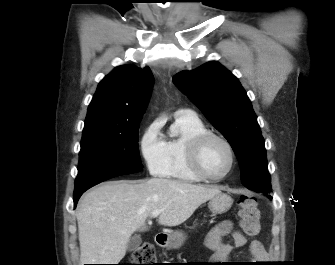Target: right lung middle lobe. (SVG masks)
<instances>
[{"label":"right lung middle lobe","mask_w":335,"mask_h":265,"mask_svg":"<svg viewBox=\"0 0 335 265\" xmlns=\"http://www.w3.org/2000/svg\"><path fill=\"white\" fill-rule=\"evenodd\" d=\"M139 123L118 132L92 131L82 135L75 191L142 170Z\"/></svg>","instance_id":"obj_1"}]
</instances>
